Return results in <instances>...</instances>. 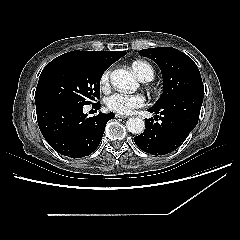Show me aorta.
Segmentation results:
<instances>
[{"instance_id":"obj_1","label":"aorta","mask_w":240,"mask_h":240,"mask_svg":"<svg viewBox=\"0 0 240 240\" xmlns=\"http://www.w3.org/2000/svg\"><path fill=\"white\" fill-rule=\"evenodd\" d=\"M111 84L120 91H133L137 88L134 76L124 69H116L110 75ZM126 127L132 134H141L145 129L142 118L131 117L126 122Z\"/></svg>"}]
</instances>
